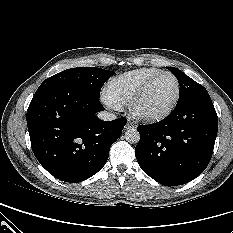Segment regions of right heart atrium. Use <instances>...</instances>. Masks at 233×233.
Segmentation results:
<instances>
[{"instance_id":"d8ad5b80","label":"right heart atrium","mask_w":233,"mask_h":233,"mask_svg":"<svg viewBox=\"0 0 233 233\" xmlns=\"http://www.w3.org/2000/svg\"><path fill=\"white\" fill-rule=\"evenodd\" d=\"M102 100L109 108L119 109L121 107V105L111 97L107 90L102 92Z\"/></svg>"}]
</instances>
